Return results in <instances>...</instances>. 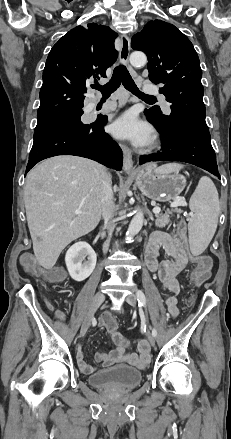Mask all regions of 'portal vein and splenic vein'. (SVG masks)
Segmentation results:
<instances>
[{
    "label": "portal vein and splenic vein",
    "mask_w": 231,
    "mask_h": 439,
    "mask_svg": "<svg viewBox=\"0 0 231 439\" xmlns=\"http://www.w3.org/2000/svg\"><path fill=\"white\" fill-rule=\"evenodd\" d=\"M184 203V201H180V202H175L171 204V207H177V206H181ZM161 211V209L159 207H155L153 208V213L154 214H159ZM81 213V209H76L75 210V214H80Z\"/></svg>",
    "instance_id": "18ae733b"
}]
</instances>
